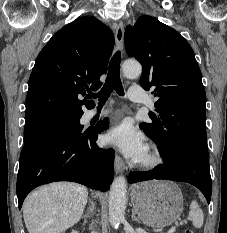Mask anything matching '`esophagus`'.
Returning <instances> with one entry per match:
<instances>
[{
	"label": "esophagus",
	"instance_id": "1",
	"mask_svg": "<svg viewBox=\"0 0 227 233\" xmlns=\"http://www.w3.org/2000/svg\"><path fill=\"white\" fill-rule=\"evenodd\" d=\"M115 40H116L117 49L122 50L124 45V25L123 22L121 21L117 24L115 30ZM114 166L116 173H121L126 169V166L119 155L115 156Z\"/></svg>",
	"mask_w": 227,
	"mask_h": 233
}]
</instances>
